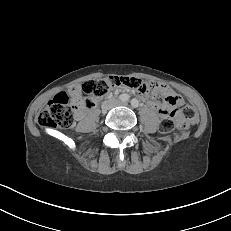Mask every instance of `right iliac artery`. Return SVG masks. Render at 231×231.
<instances>
[{"mask_svg":"<svg viewBox=\"0 0 231 231\" xmlns=\"http://www.w3.org/2000/svg\"><path fill=\"white\" fill-rule=\"evenodd\" d=\"M119 99H120L121 101H128V100H129V95H128V94H121V95L119 96Z\"/></svg>","mask_w":231,"mask_h":231,"instance_id":"obj_1","label":"right iliac artery"}]
</instances>
